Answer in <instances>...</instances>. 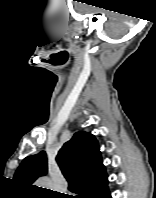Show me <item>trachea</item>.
<instances>
[{"label": "trachea", "mask_w": 156, "mask_h": 198, "mask_svg": "<svg viewBox=\"0 0 156 198\" xmlns=\"http://www.w3.org/2000/svg\"><path fill=\"white\" fill-rule=\"evenodd\" d=\"M77 198H82V196H81V195H79V196H77Z\"/></svg>", "instance_id": "obj_1"}]
</instances>
